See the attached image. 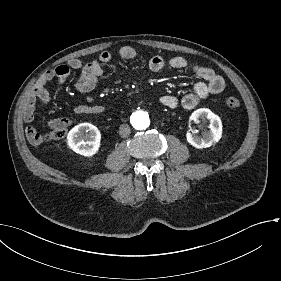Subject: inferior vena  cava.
<instances>
[{
  "label": "inferior vena cava",
  "mask_w": 281,
  "mask_h": 281,
  "mask_svg": "<svg viewBox=\"0 0 281 281\" xmlns=\"http://www.w3.org/2000/svg\"><path fill=\"white\" fill-rule=\"evenodd\" d=\"M130 132H131V130H130L129 125H127V124L120 125L119 134L121 137H123V138L128 137Z\"/></svg>",
  "instance_id": "obj_1"
}]
</instances>
